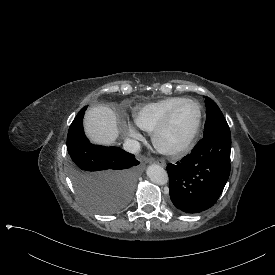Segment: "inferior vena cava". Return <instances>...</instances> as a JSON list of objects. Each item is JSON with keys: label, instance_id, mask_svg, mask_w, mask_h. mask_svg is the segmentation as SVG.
<instances>
[{"label": "inferior vena cava", "instance_id": "obj_1", "mask_svg": "<svg viewBox=\"0 0 275 275\" xmlns=\"http://www.w3.org/2000/svg\"><path fill=\"white\" fill-rule=\"evenodd\" d=\"M123 148L129 153L135 154L140 150V143L136 140H126L123 144Z\"/></svg>", "mask_w": 275, "mask_h": 275}]
</instances>
